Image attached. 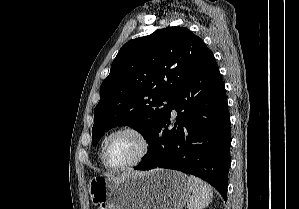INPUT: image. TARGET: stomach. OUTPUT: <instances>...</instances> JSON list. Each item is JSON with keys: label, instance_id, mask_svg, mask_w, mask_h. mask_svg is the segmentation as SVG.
I'll return each instance as SVG.
<instances>
[{"label": "stomach", "instance_id": "1", "mask_svg": "<svg viewBox=\"0 0 299 209\" xmlns=\"http://www.w3.org/2000/svg\"><path fill=\"white\" fill-rule=\"evenodd\" d=\"M88 190L97 209H182L192 187L186 174L157 168L117 178L95 176Z\"/></svg>", "mask_w": 299, "mask_h": 209}]
</instances>
